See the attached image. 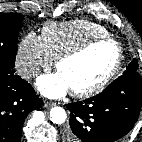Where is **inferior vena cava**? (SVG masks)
<instances>
[{
	"label": "inferior vena cava",
	"instance_id": "inferior-vena-cava-1",
	"mask_svg": "<svg viewBox=\"0 0 142 142\" xmlns=\"http://www.w3.org/2000/svg\"><path fill=\"white\" fill-rule=\"evenodd\" d=\"M39 69L37 67H26L18 71L21 78L28 80L38 74Z\"/></svg>",
	"mask_w": 142,
	"mask_h": 142
}]
</instances>
